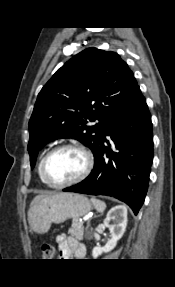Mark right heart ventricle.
Segmentation results:
<instances>
[{"instance_id":"right-heart-ventricle-1","label":"right heart ventricle","mask_w":175,"mask_h":287,"mask_svg":"<svg viewBox=\"0 0 175 287\" xmlns=\"http://www.w3.org/2000/svg\"><path fill=\"white\" fill-rule=\"evenodd\" d=\"M44 156H45V155H43V156L40 158L39 162H38L37 171H38V176H39L41 182H42L43 184H46V183L43 181L42 176H41V164H42V161H43ZM46 185H47V184H46Z\"/></svg>"}]
</instances>
